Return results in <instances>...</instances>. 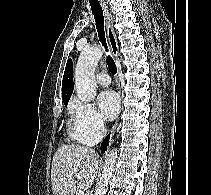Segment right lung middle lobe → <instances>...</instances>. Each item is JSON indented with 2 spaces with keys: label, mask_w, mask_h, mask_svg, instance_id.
I'll return each mask as SVG.
<instances>
[{
  "label": "right lung middle lobe",
  "mask_w": 211,
  "mask_h": 195,
  "mask_svg": "<svg viewBox=\"0 0 211 195\" xmlns=\"http://www.w3.org/2000/svg\"><path fill=\"white\" fill-rule=\"evenodd\" d=\"M64 104H65V106H67L68 102H65Z\"/></svg>",
  "instance_id": "right-lung-middle-lobe-1"
}]
</instances>
